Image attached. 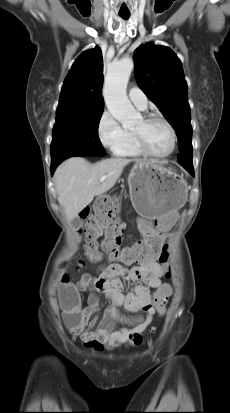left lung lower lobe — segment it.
<instances>
[{
    "label": "left lung lower lobe",
    "mask_w": 230,
    "mask_h": 413,
    "mask_svg": "<svg viewBox=\"0 0 230 413\" xmlns=\"http://www.w3.org/2000/svg\"><path fill=\"white\" fill-rule=\"evenodd\" d=\"M183 167H184L189 173H191V174L194 176L193 166L184 165Z\"/></svg>",
    "instance_id": "0a47b994"
}]
</instances>
